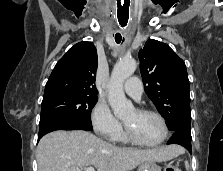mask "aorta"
I'll list each match as a JSON object with an SVG mask.
<instances>
[{"label": "aorta", "instance_id": "762f6f07", "mask_svg": "<svg viewBox=\"0 0 223 171\" xmlns=\"http://www.w3.org/2000/svg\"><path fill=\"white\" fill-rule=\"evenodd\" d=\"M136 68L137 63L134 59H122L112 70L108 83V102L117 117H122L133 110L132 103L124 94L123 83L135 72Z\"/></svg>", "mask_w": 223, "mask_h": 171}]
</instances>
